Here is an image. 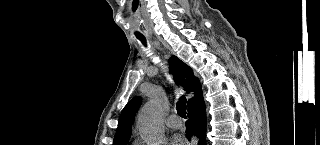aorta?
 <instances>
[{
    "label": "aorta",
    "instance_id": "1",
    "mask_svg": "<svg viewBox=\"0 0 320 145\" xmlns=\"http://www.w3.org/2000/svg\"><path fill=\"white\" fill-rule=\"evenodd\" d=\"M162 106L158 99L144 105L138 117V129L148 145H160L164 137Z\"/></svg>",
    "mask_w": 320,
    "mask_h": 145
}]
</instances>
